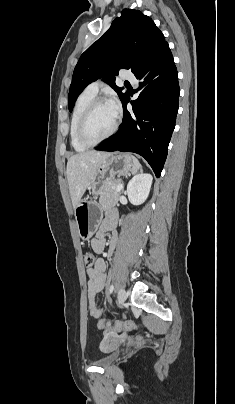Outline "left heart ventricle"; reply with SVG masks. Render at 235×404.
<instances>
[{
  "label": "left heart ventricle",
  "instance_id": "1",
  "mask_svg": "<svg viewBox=\"0 0 235 404\" xmlns=\"http://www.w3.org/2000/svg\"><path fill=\"white\" fill-rule=\"evenodd\" d=\"M116 114L109 105L102 104L92 113L87 124L86 135L90 140H97L103 137L113 126Z\"/></svg>",
  "mask_w": 235,
  "mask_h": 404
}]
</instances>
